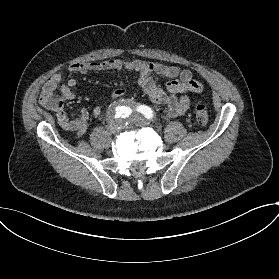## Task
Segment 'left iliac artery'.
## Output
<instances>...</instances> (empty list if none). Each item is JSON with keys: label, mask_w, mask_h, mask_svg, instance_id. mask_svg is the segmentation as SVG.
<instances>
[{"label": "left iliac artery", "mask_w": 279, "mask_h": 279, "mask_svg": "<svg viewBox=\"0 0 279 279\" xmlns=\"http://www.w3.org/2000/svg\"><path fill=\"white\" fill-rule=\"evenodd\" d=\"M145 117L147 119H152L153 118V111L151 110V108L145 106V113H144Z\"/></svg>", "instance_id": "left-iliac-artery-1"}]
</instances>
